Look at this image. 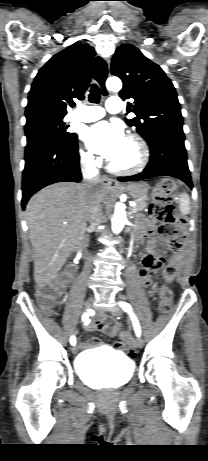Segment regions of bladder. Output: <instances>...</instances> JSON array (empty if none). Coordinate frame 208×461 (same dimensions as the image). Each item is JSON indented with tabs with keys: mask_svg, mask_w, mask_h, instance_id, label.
Wrapping results in <instances>:
<instances>
[{
	"mask_svg": "<svg viewBox=\"0 0 208 461\" xmlns=\"http://www.w3.org/2000/svg\"><path fill=\"white\" fill-rule=\"evenodd\" d=\"M78 376L96 389H116L130 381L134 362L129 357L108 351L85 352L75 363Z\"/></svg>",
	"mask_w": 208,
	"mask_h": 461,
	"instance_id": "bladder-1",
	"label": "bladder"
}]
</instances>
